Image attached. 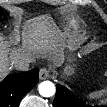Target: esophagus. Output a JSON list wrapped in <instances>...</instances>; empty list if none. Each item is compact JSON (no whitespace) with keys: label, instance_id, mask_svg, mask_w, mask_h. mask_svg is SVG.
Listing matches in <instances>:
<instances>
[{"label":"esophagus","instance_id":"obj_1","mask_svg":"<svg viewBox=\"0 0 107 107\" xmlns=\"http://www.w3.org/2000/svg\"><path fill=\"white\" fill-rule=\"evenodd\" d=\"M49 77H50L49 71L46 68H42L40 70V79L44 80V79H47Z\"/></svg>","mask_w":107,"mask_h":107}]
</instances>
